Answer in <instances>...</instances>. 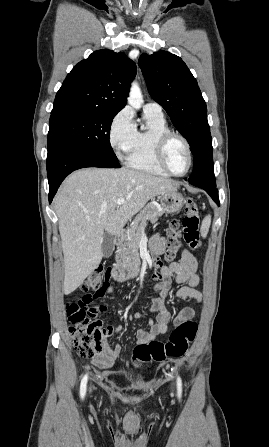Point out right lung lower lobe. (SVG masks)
<instances>
[{
    "instance_id": "1",
    "label": "right lung lower lobe",
    "mask_w": 269,
    "mask_h": 447,
    "mask_svg": "<svg viewBox=\"0 0 269 447\" xmlns=\"http://www.w3.org/2000/svg\"><path fill=\"white\" fill-rule=\"evenodd\" d=\"M86 167L120 168L117 159L48 137L47 173L49 203L62 181L74 170Z\"/></svg>"
}]
</instances>
